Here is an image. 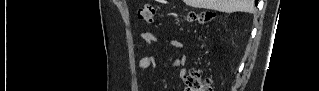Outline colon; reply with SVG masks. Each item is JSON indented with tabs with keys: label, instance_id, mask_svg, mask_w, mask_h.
Listing matches in <instances>:
<instances>
[{
	"label": "colon",
	"instance_id": "5ec220e1",
	"mask_svg": "<svg viewBox=\"0 0 319 91\" xmlns=\"http://www.w3.org/2000/svg\"><path fill=\"white\" fill-rule=\"evenodd\" d=\"M157 14V5L154 3H147L140 7L137 12L139 20L147 23L154 24ZM213 19L212 13H190L188 21L192 23L206 24ZM185 86L187 91H211L212 85L209 79H205L198 71H192L185 79Z\"/></svg>",
	"mask_w": 319,
	"mask_h": 91
}]
</instances>
